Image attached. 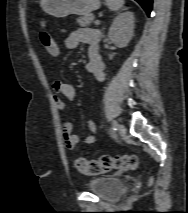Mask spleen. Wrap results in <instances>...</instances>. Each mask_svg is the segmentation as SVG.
Returning <instances> with one entry per match:
<instances>
[{"instance_id": "3e777b00", "label": "spleen", "mask_w": 188, "mask_h": 213, "mask_svg": "<svg viewBox=\"0 0 188 213\" xmlns=\"http://www.w3.org/2000/svg\"><path fill=\"white\" fill-rule=\"evenodd\" d=\"M106 4L111 11H117L124 5V0H106Z\"/></svg>"}]
</instances>
